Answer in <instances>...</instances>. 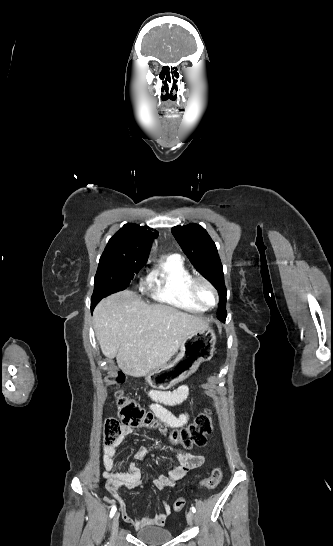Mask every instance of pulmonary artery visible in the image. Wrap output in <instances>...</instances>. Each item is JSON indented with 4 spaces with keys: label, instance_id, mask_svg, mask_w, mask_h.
I'll list each match as a JSON object with an SVG mask.
<instances>
[{
    "label": "pulmonary artery",
    "instance_id": "e3ab8cb5",
    "mask_svg": "<svg viewBox=\"0 0 333 546\" xmlns=\"http://www.w3.org/2000/svg\"><path fill=\"white\" fill-rule=\"evenodd\" d=\"M170 257L180 258L179 255H177V254L171 255Z\"/></svg>",
    "mask_w": 333,
    "mask_h": 546
}]
</instances>
